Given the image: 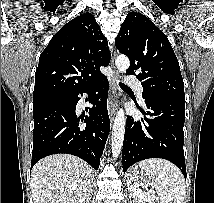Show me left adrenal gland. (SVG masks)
Here are the masks:
<instances>
[{
    "label": "left adrenal gland",
    "mask_w": 214,
    "mask_h": 203,
    "mask_svg": "<svg viewBox=\"0 0 214 203\" xmlns=\"http://www.w3.org/2000/svg\"><path fill=\"white\" fill-rule=\"evenodd\" d=\"M132 197V193H131V190H129V198L131 199Z\"/></svg>",
    "instance_id": "a2214340"
}]
</instances>
